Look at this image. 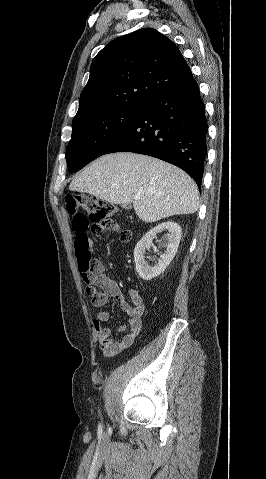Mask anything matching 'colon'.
<instances>
[{"mask_svg": "<svg viewBox=\"0 0 266 479\" xmlns=\"http://www.w3.org/2000/svg\"><path fill=\"white\" fill-rule=\"evenodd\" d=\"M65 209L72 217L71 228L77 268L87 295L94 299L98 289L93 281L94 262L87 232L90 231L96 236L111 233L118 236L122 242L130 241L131 232L112 218L116 213L115 205L97 197L69 192L65 196Z\"/></svg>", "mask_w": 266, "mask_h": 479, "instance_id": "1", "label": "colon"}]
</instances>
